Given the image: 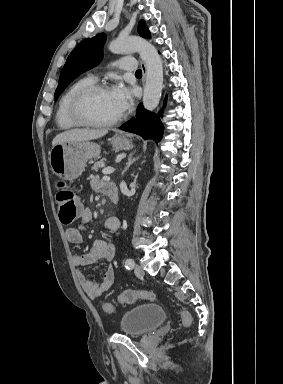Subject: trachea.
Segmentation results:
<instances>
[{
    "label": "trachea",
    "instance_id": "3493384b",
    "mask_svg": "<svg viewBox=\"0 0 283 384\" xmlns=\"http://www.w3.org/2000/svg\"><path fill=\"white\" fill-rule=\"evenodd\" d=\"M135 75H142V71H141V70H137V71L135 72Z\"/></svg>",
    "mask_w": 283,
    "mask_h": 384
}]
</instances>
